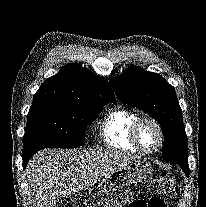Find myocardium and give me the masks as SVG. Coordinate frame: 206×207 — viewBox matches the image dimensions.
I'll return each mask as SVG.
<instances>
[{"mask_svg":"<svg viewBox=\"0 0 206 207\" xmlns=\"http://www.w3.org/2000/svg\"><path fill=\"white\" fill-rule=\"evenodd\" d=\"M144 122H149L153 124L159 133V143L154 149H151V150L144 148L141 145L140 140H139V135H138L139 128ZM130 138H131L132 144L137 148L139 152L146 154V155H153L162 148L164 141H165V133H164L162 125L156 119L152 117H139L131 126Z\"/></svg>","mask_w":206,"mask_h":207,"instance_id":"obj_1","label":"myocardium"}]
</instances>
